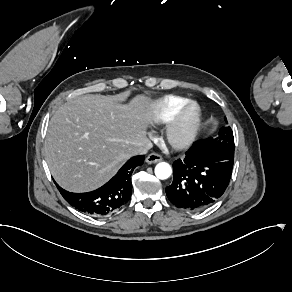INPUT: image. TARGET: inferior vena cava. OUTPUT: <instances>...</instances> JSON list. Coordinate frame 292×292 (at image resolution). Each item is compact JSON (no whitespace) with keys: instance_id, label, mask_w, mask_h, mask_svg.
<instances>
[{"instance_id":"obj_1","label":"inferior vena cava","mask_w":292,"mask_h":292,"mask_svg":"<svg viewBox=\"0 0 292 292\" xmlns=\"http://www.w3.org/2000/svg\"><path fill=\"white\" fill-rule=\"evenodd\" d=\"M152 146L153 145H152L151 141L149 139H147L146 142L142 146H140L132 151L131 156L139 155V154H146L148 152V150L152 148Z\"/></svg>"}]
</instances>
